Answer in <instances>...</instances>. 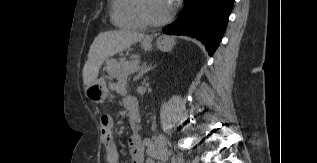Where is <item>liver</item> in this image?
I'll list each match as a JSON object with an SVG mask.
<instances>
[{"label":"liver","instance_id":"6515ba94","mask_svg":"<svg viewBox=\"0 0 317 163\" xmlns=\"http://www.w3.org/2000/svg\"><path fill=\"white\" fill-rule=\"evenodd\" d=\"M143 34L124 30L105 31L97 35L88 52V59L83 68V83L88 86L93 83L99 74L103 62L140 42Z\"/></svg>","mask_w":317,"mask_h":163}]
</instances>
